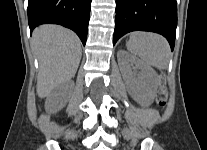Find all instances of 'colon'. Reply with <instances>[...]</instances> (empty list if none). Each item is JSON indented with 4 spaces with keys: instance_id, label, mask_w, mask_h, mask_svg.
I'll use <instances>...</instances> for the list:
<instances>
[{
    "instance_id": "colon-1",
    "label": "colon",
    "mask_w": 207,
    "mask_h": 150,
    "mask_svg": "<svg viewBox=\"0 0 207 150\" xmlns=\"http://www.w3.org/2000/svg\"><path fill=\"white\" fill-rule=\"evenodd\" d=\"M167 97H168V94L165 88V76L162 75L161 76V88L157 94V102L161 107L166 105Z\"/></svg>"
}]
</instances>
